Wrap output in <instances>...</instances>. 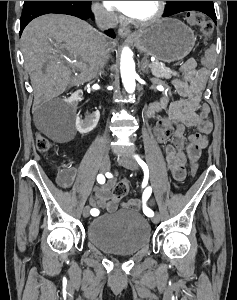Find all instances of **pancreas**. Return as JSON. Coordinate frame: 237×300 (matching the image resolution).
<instances>
[{"label":"pancreas","mask_w":237,"mask_h":300,"mask_svg":"<svg viewBox=\"0 0 237 300\" xmlns=\"http://www.w3.org/2000/svg\"><path fill=\"white\" fill-rule=\"evenodd\" d=\"M155 65H158V68H149L151 69V73L152 75H154V77H162V79H171V77H173V75H176V73H173V71H170V69H168V67H165V65H162V63H159V61H155ZM148 65L149 61H148ZM147 65V67H148ZM154 65V64H152Z\"/></svg>","instance_id":"1"}]
</instances>
